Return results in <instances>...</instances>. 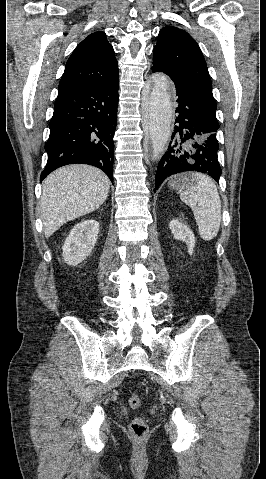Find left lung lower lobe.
I'll use <instances>...</instances> for the list:
<instances>
[{
  "instance_id": "obj_1",
  "label": "left lung lower lobe",
  "mask_w": 266,
  "mask_h": 479,
  "mask_svg": "<svg viewBox=\"0 0 266 479\" xmlns=\"http://www.w3.org/2000/svg\"><path fill=\"white\" fill-rule=\"evenodd\" d=\"M152 71L156 72L153 68ZM176 95V126L168 149L157 165L154 192L167 177L176 173L197 171L218 183L222 173L217 156L216 109L181 86H176Z\"/></svg>"
}]
</instances>
